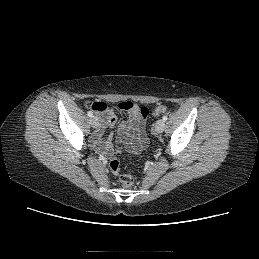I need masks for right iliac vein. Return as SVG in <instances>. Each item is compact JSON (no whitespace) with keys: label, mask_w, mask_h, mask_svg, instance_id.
<instances>
[{"label":"right iliac vein","mask_w":259,"mask_h":259,"mask_svg":"<svg viewBox=\"0 0 259 259\" xmlns=\"http://www.w3.org/2000/svg\"><path fill=\"white\" fill-rule=\"evenodd\" d=\"M90 123L93 128H97L99 125L98 119L95 116L91 117Z\"/></svg>","instance_id":"63e3f726"}]
</instances>
